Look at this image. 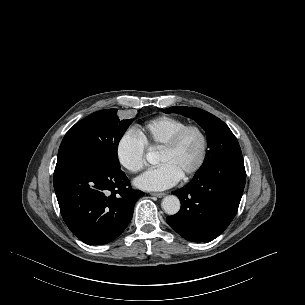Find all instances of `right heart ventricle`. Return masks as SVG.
Returning <instances> with one entry per match:
<instances>
[{"mask_svg": "<svg viewBox=\"0 0 305 305\" xmlns=\"http://www.w3.org/2000/svg\"><path fill=\"white\" fill-rule=\"evenodd\" d=\"M188 125V122L172 117L159 116L145 122L137 129L138 135L150 149H160L178 130Z\"/></svg>", "mask_w": 305, "mask_h": 305, "instance_id": "1", "label": "right heart ventricle"}]
</instances>
